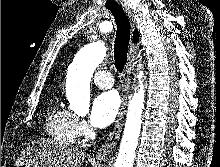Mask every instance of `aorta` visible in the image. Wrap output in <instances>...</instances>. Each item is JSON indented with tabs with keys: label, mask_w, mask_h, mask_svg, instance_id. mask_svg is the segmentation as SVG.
<instances>
[{
	"label": "aorta",
	"mask_w": 220,
	"mask_h": 167,
	"mask_svg": "<svg viewBox=\"0 0 220 167\" xmlns=\"http://www.w3.org/2000/svg\"><path fill=\"white\" fill-rule=\"evenodd\" d=\"M105 56L106 48L104 45L101 42H93L83 47L69 66L66 95L70 109L78 115H86L89 112L91 77ZM142 76L143 73L138 75L139 90L134 93L128 106L124 133L114 167H133L144 107Z\"/></svg>",
	"instance_id": "762f6f07"
}]
</instances>
